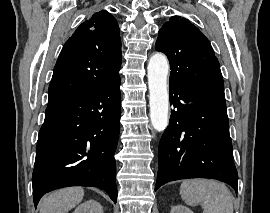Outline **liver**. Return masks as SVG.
Returning <instances> with one entry per match:
<instances>
[{
    "instance_id": "obj_1",
    "label": "liver",
    "mask_w": 270,
    "mask_h": 213,
    "mask_svg": "<svg viewBox=\"0 0 270 213\" xmlns=\"http://www.w3.org/2000/svg\"><path fill=\"white\" fill-rule=\"evenodd\" d=\"M83 197L84 190L80 187L57 190L41 199L40 213H68L82 201Z\"/></svg>"
}]
</instances>
